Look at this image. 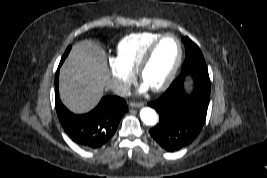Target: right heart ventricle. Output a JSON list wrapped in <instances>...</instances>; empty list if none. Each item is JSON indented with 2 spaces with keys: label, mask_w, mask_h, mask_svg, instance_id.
<instances>
[{
  "label": "right heart ventricle",
  "mask_w": 267,
  "mask_h": 178,
  "mask_svg": "<svg viewBox=\"0 0 267 178\" xmlns=\"http://www.w3.org/2000/svg\"><path fill=\"white\" fill-rule=\"evenodd\" d=\"M161 35L159 32H140L125 36L117 45L116 59L128 70L136 72L148 46Z\"/></svg>",
  "instance_id": "obj_1"
}]
</instances>
